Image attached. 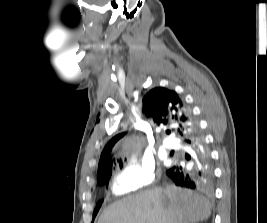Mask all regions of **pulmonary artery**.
Here are the masks:
<instances>
[{
    "mask_svg": "<svg viewBox=\"0 0 267 223\" xmlns=\"http://www.w3.org/2000/svg\"><path fill=\"white\" fill-rule=\"evenodd\" d=\"M163 146L167 149H170V148H175L176 144L170 139H165L163 140Z\"/></svg>",
    "mask_w": 267,
    "mask_h": 223,
    "instance_id": "obj_1",
    "label": "pulmonary artery"
}]
</instances>
